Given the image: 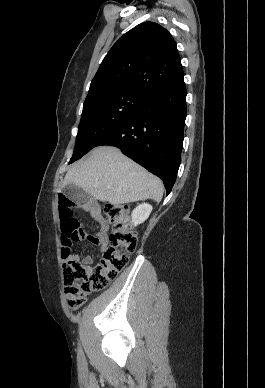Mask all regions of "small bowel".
<instances>
[{
    "label": "small bowel",
    "instance_id": "obj_1",
    "mask_svg": "<svg viewBox=\"0 0 265 388\" xmlns=\"http://www.w3.org/2000/svg\"><path fill=\"white\" fill-rule=\"evenodd\" d=\"M79 208L90 213L92 218L99 224L100 231L94 236L87 235L86 239L94 245H97L101 251H104L108 245V232L110 225L104 218L99 205L96 202L88 201L80 203ZM77 260L78 258L75 257ZM83 264L91 265L93 258L91 256H85L82 261Z\"/></svg>",
    "mask_w": 265,
    "mask_h": 388
}]
</instances>
